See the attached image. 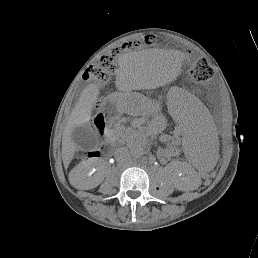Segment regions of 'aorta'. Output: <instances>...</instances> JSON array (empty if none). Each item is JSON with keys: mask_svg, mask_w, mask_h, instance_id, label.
<instances>
[{"mask_svg": "<svg viewBox=\"0 0 258 258\" xmlns=\"http://www.w3.org/2000/svg\"><path fill=\"white\" fill-rule=\"evenodd\" d=\"M133 155H134V157L139 158L142 155V152L141 151H133Z\"/></svg>", "mask_w": 258, "mask_h": 258, "instance_id": "aorta-1", "label": "aorta"}]
</instances>
